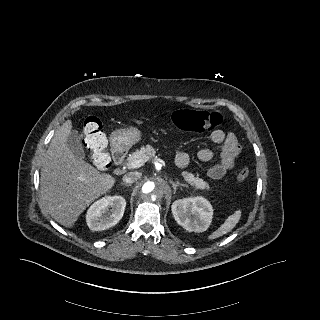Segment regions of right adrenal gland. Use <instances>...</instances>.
Listing matches in <instances>:
<instances>
[{
    "instance_id": "obj_1",
    "label": "right adrenal gland",
    "mask_w": 320,
    "mask_h": 320,
    "mask_svg": "<svg viewBox=\"0 0 320 320\" xmlns=\"http://www.w3.org/2000/svg\"><path fill=\"white\" fill-rule=\"evenodd\" d=\"M122 185H124V186H126V187H129V186H131L130 184H127V183H121Z\"/></svg>"
}]
</instances>
